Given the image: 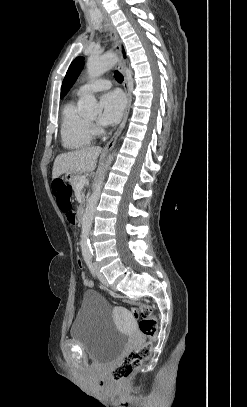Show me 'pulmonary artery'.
Returning <instances> with one entry per match:
<instances>
[{"label": "pulmonary artery", "mask_w": 247, "mask_h": 407, "mask_svg": "<svg viewBox=\"0 0 247 407\" xmlns=\"http://www.w3.org/2000/svg\"><path fill=\"white\" fill-rule=\"evenodd\" d=\"M111 87L109 78H99L81 85L77 90L78 96H83L88 93L103 91Z\"/></svg>", "instance_id": "pulmonary-artery-1"}]
</instances>
